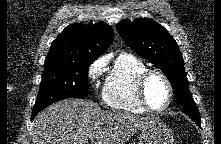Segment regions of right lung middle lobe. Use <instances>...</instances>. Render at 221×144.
Here are the masks:
<instances>
[{
  "mask_svg": "<svg viewBox=\"0 0 221 144\" xmlns=\"http://www.w3.org/2000/svg\"><path fill=\"white\" fill-rule=\"evenodd\" d=\"M91 61L45 62L40 90L32 114L54 102L88 95V70Z\"/></svg>",
  "mask_w": 221,
  "mask_h": 144,
  "instance_id": "right-lung-middle-lobe-1",
  "label": "right lung middle lobe"
}]
</instances>
